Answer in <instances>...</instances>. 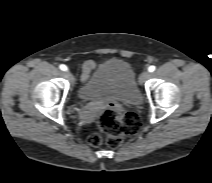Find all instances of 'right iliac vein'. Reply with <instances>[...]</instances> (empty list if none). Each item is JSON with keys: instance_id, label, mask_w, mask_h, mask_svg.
I'll use <instances>...</instances> for the list:
<instances>
[{"instance_id": "1", "label": "right iliac vein", "mask_w": 212, "mask_h": 183, "mask_svg": "<svg viewBox=\"0 0 212 183\" xmlns=\"http://www.w3.org/2000/svg\"><path fill=\"white\" fill-rule=\"evenodd\" d=\"M66 75L71 80V82H74L75 81L74 76L70 72H67Z\"/></svg>"}]
</instances>
